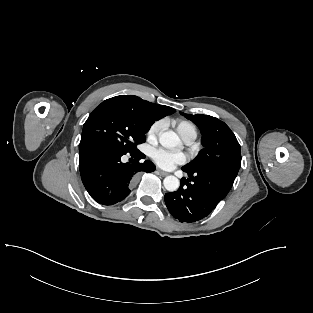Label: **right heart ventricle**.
<instances>
[{
  "label": "right heart ventricle",
  "mask_w": 313,
  "mask_h": 313,
  "mask_svg": "<svg viewBox=\"0 0 313 313\" xmlns=\"http://www.w3.org/2000/svg\"><path fill=\"white\" fill-rule=\"evenodd\" d=\"M183 140H194L198 135L197 127L188 120H175L172 122Z\"/></svg>",
  "instance_id": "obj_1"
}]
</instances>
